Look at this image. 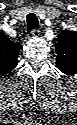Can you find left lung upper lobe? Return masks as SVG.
<instances>
[{
	"instance_id": "5c2ea615",
	"label": "left lung upper lobe",
	"mask_w": 77,
	"mask_h": 125,
	"mask_svg": "<svg viewBox=\"0 0 77 125\" xmlns=\"http://www.w3.org/2000/svg\"><path fill=\"white\" fill-rule=\"evenodd\" d=\"M56 65L77 67V34L65 30L58 35Z\"/></svg>"
}]
</instances>
